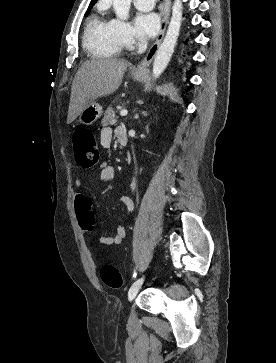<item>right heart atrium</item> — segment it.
Instances as JSON below:
<instances>
[{
	"mask_svg": "<svg viewBox=\"0 0 276 363\" xmlns=\"http://www.w3.org/2000/svg\"><path fill=\"white\" fill-rule=\"evenodd\" d=\"M112 22L122 45L130 46L137 41L135 31L129 23L119 19H114Z\"/></svg>",
	"mask_w": 276,
	"mask_h": 363,
	"instance_id": "obj_1",
	"label": "right heart atrium"
}]
</instances>
